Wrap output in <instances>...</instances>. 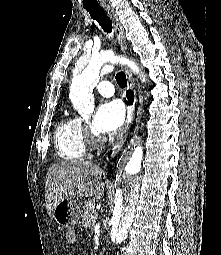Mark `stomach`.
Returning <instances> with one entry per match:
<instances>
[{
  "mask_svg": "<svg viewBox=\"0 0 221 255\" xmlns=\"http://www.w3.org/2000/svg\"><path fill=\"white\" fill-rule=\"evenodd\" d=\"M85 200L81 197H67L53 210L55 221L63 227H72L79 222L85 209Z\"/></svg>",
  "mask_w": 221,
  "mask_h": 255,
  "instance_id": "stomach-1",
  "label": "stomach"
}]
</instances>
